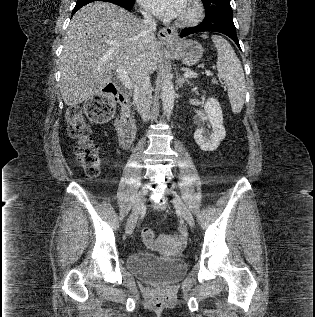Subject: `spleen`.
Here are the masks:
<instances>
[{"instance_id":"obj_1","label":"spleen","mask_w":315,"mask_h":317,"mask_svg":"<svg viewBox=\"0 0 315 317\" xmlns=\"http://www.w3.org/2000/svg\"><path fill=\"white\" fill-rule=\"evenodd\" d=\"M208 38L207 35H202ZM212 41L217 49V70L227 87L232 112L240 113L246 94L245 76L242 65L230 43L219 35H212Z\"/></svg>"}]
</instances>
